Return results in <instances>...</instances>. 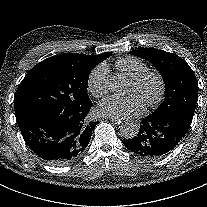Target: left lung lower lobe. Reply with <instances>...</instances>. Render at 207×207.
<instances>
[{
	"mask_svg": "<svg viewBox=\"0 0 207 207\" xmlns=\"http://www.w3.org/2000/svg\"><path fill=\"white\" fill-rule=\"evenodd\" d=\"M191 122L175 114L149 115L141 121L136 137L123 140L134 153L149 159L164 156L180 142Z\"/></svg>",
	"mask_w": 207,
	"mask_h": 207,
	"instance_id": "left-lung-lower-lobe-1",
	"label": "left lung lower lobe"
}]
</instances>
